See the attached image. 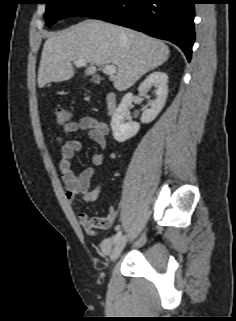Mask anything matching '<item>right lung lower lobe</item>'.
Listing matches in <instances>:
<instances>
[{"label":"right lung lower lobe","mask_w":236,"mask_h":321,"mask_svg":"<svg viewBox=\"0 0 236 321\" xmlns=\"http://www.w3.org/2000/svg\"><path fill=\"white\" fill-rule=\"evenodd\" d=\"M195 3V0H111L88 17L171 41L190 61L195 39Z\"/></svg>","instance_id":"1"}]
</instances>
